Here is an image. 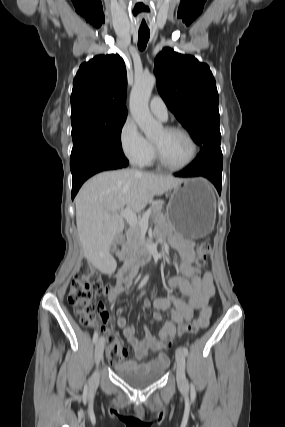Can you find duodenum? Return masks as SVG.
I'll return each mask as SVG.
<instances>
[{"instance_id":"410a0bca","label":"duodenum","mask_w":285,"mask_h":427,"mask_svg":"<svg viewBox=\"0 0 285 427\" xmlns=\"http://www.w3.org/2000/svg\"><path fill=\"white\" fill-rule=\"evenodd\" d=\"M154 253L155 240H149L140 245L121 267L117 275L118 278L122 281L129 282L136 273L138 265L146 262Z\"/></svg>"}]
</instances>
